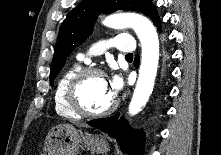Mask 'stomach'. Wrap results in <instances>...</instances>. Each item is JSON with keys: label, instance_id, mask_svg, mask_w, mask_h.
Segmentation results:
<instances>
[{"label": "stomach", "instance_id": "1", "mask_svg": "<svg viewBox=\"0 0 221 155\" xmlns=\"http://www.w3.org/2000/svg\"><path fill=\"white\" fill-rule=\"evenodd\" d=\"M80 147L92 154H106L109 143L101 134L82 133L70 124L53 127L45 140V155H77Z\"/></svg>", "mask_w": 221, "mask_h": 155}]
</instances>
